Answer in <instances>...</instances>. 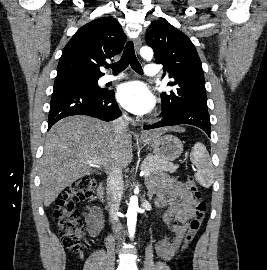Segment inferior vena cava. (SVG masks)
<instances>
[{
	"instance_id": "inferior-vena-cava-1",
	"label": "inferior vena cava",
	"mask_w": 267,
	"mask_h": 270,
	"mask_svg": "<svg viewBox=\"0 0 267 270\" xmlns=\"http://www.w3.org/2000/svg\"><path fill=\"white\" fill-rule=\"evenodd\" d=\"M113 130L117 137H120L128 130L127 116H121L112 122ZM107 201L113 231L117 238H121L122 226L118 221V211L123 195L122 169L117 165L113 166L107 177Z\"/></svg>"
}]
</instances>
